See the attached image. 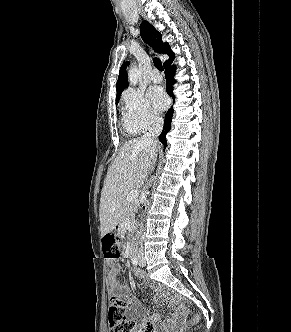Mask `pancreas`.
<instances>
[{
    "instance_id": "cf45deb5",
    "label": "pancreas",
    "mask_w": 291,
    "mask_h": 332,
    "mask_svg": "<svg viewBox=\"0 0 291 332\" xmlns=\"http://www.w3.org/2000/svg\"><path fill=\"white\" fill-rule=\"evenodd\" d=\"M139 206L138 202H128L126 198L123 200L122 205V221L128 220L130 226L132 227L135 220V212Z\"/></svg>"
}]
</instances>
